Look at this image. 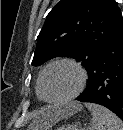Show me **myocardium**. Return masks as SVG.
<instances>
[{
	"mask_svg": "<svg viewBox=\"0 0 123 130\" xmlns=\"http://www.w3.org/2000/svg\"><path fill=\"white\" fill-rule=\"evenodd\" d=\"M58 64H68L71 65L72 67H74L78 73H79V84L77 86V88L74 90L73 93H71L70 95L60 98V99H48L45 97L44 95V91H43V79L45 76V73L47 72V70L49 68H51L52 66L58 65ZM87 79H88V75L87 72L85 70V68L81 65V63H79L78 61H76L73 58H69V57H61V58H57L51 62H49L40 72L39 74V79H38V93H39V97L47 102V103H51V104H61V103H66L69 102L73 99H75L76 97H78L81 92L84 90L86 83H87Z\"/></svg>",
	"mask_w": 123,
	"mask_h": 130,
	"instance_id": "1",
	"label": "myocardium"
}]
</instances>
